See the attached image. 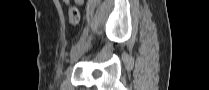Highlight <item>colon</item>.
Segmentation results:
<instances>
[{
  "mask_svg": "<svg viewBox=\"0 0 209 90\" xmlns=\"http://www.w3.org/2000/svg\"><path fill=\"white\" fill-rule=\"evenodd\" d=\"M80 19L79 10L76 7L70 9V20L73 24H76Z\"/></svg>",
  "mask_w": 209,
  "mask_h": 90,
  "instance_id": "1",
  "label": "colon"
}]
</instances>
